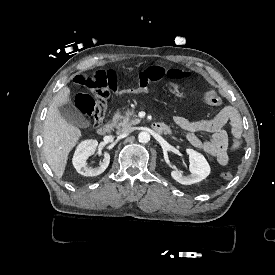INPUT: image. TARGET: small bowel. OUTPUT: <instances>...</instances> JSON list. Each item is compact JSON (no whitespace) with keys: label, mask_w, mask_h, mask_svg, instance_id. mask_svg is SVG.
<instances>
[{"label":"small bowel","mask_w":275,"mask_h":275,"mask_svg":"<svg viewBox=\"0 0 275 275\" xmlns=\"http://www.w3.org/2000/svg\"><path fill=\"white\" fill-rule=\"evenodd\" d=\"M163 76L168 82H188L192 80L194 73L188 67H168L162 72L161 68L154 66L142 70L141 80L138 85L130 84L127 88L122 86L120 75L115 68H108L105 71V78L109 88L108 94L112 98H120L126 95H141L150 89V82L157 81ZM174 123L181 128L186 135L189 143L196 149L204 151L206 154L215 158L218 164L225 166L229 162V152L235 150L238 142L241 141L242 121L238 110L233 106H226L210 120L191 121L181 115L173 117ZM231 126L232 142L229 143L227 133L223 127L226 124ZM212 133L209 140H202L198 133Z\"/></svg>","instance_id":"1"}]
</instances>
